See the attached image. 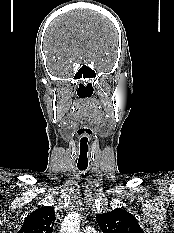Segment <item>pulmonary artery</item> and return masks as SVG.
I'll use <instances>...</instances> for the list:
<instances>
[{"label":"pulmonary artery","instance_id":"obj_1","mask_svg":"<svg viewBox=\"0 0 174 233\" xmlns=\"http://www.w3.org/2000/svg\"><path fill=\"white\" fill-rule=\"evenodd\" d=\"M83 233H96L95 230L90 227V226H86L84 229H83Z\"/></svg>","mask_w":174,"mask_h":233}]
</instances>
